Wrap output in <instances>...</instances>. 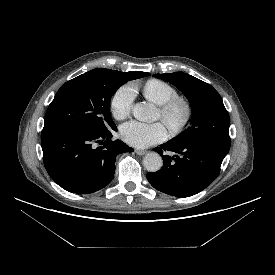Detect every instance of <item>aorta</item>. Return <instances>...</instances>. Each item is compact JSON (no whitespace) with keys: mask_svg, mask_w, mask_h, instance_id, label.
I'll return each mask as SVG.
<instances>
[{"mask_svg":"<svg viewBox=\"0 0 275 275\" xmlns=\"http://www.w3.org/2000/svg\"><path fill=\"white\" fill-rule=\"evenodd\" d=\"M132 113L139 121H152L155 119L156 110L152 104L140 102L133 106ZM143 165L149 172H157L163 165L162 157L156 152L147 153Z\"/></svg>","mask_w":275,"mask_h":275,"instance_id":"obj_1","label":"aorta"}]
</instances>
